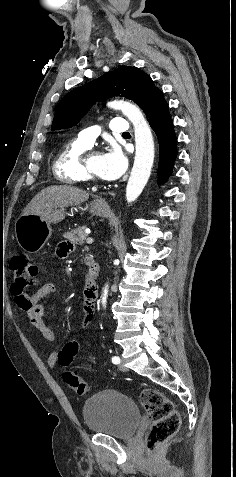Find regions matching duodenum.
<instances>
[{"label": "duodenum", "instance_id": "410a0bca", "mask_svg": "<svg viewBox=\"0 0 236 477\" xmlns=\"http://www.w3.org/2000/svg\"><path fill=\"white\" fill-rule=\"evenodd\" d=\"M85 263L88 267V272H87V283L94 288H96L97 285V276H98V264L96 260L92 257L85 258Z\"/></svg>", "mask_w": 236, "mask_h": 477}]
</instances>
